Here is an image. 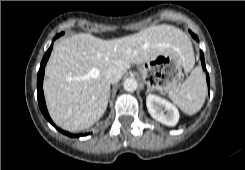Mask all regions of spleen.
<instances>
[{
    "label": "spleen",
    "instance_id": "3e777b00",
    "mask_svg": "<svg viewBox=\"0 0 245 170\" xmlns=\"http://www.w3.org/2000/svg\"><path fill=\"white\" fill-rule=\"evenodd\" d=\"M190 56L194 61L193 50ZM206 95V80L200 67L194 68L184 82L169 92L173 103L188 115L195 114L202 108Z\"/></svg>",
    "mask_w": 245,
    "mask_h": 170
}]
</instances>
